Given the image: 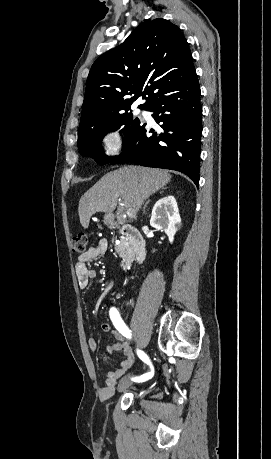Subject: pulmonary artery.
<instances>
[{"mask_svg": "<svg viewBox=\"0 0 271 459\" xmlns=\"http://www.w3.org/2000/svg\"><path fill=\"white\" fill-rule=\"evenodd\" d=\"M136 113L142 115L147 120L152 121V116H151L150 112H148V111H146L144 109L138 108V109H136Z\"/></svg>", "mask_w": 271, "mask_h": 459, "instance_id": "pulmonary-artery-1", "label": "pulmonary artery"}]
</instances>
